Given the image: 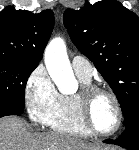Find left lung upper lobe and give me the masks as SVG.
I'll return each mask as SVG.
<instances>
[{"label":"left lung upper lobe","mask_w":139,"mask_h":150,"mask_svg":"<svg viewBox=\"0 0 139 150\" xmlns=\"http://www.w3.org/2000/svg\"><path fill=\"white\" fill-rule=\"evenodd\" d=\"M63 22L78 50L109 83L125 126L139 112V18L115 0L66 9Z\"/></svg>","instance_id":"5c2ea615"}]
</instances>
